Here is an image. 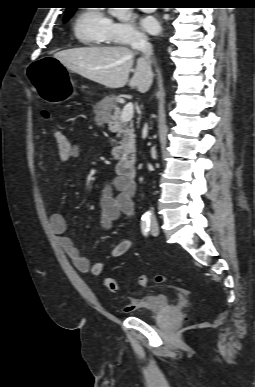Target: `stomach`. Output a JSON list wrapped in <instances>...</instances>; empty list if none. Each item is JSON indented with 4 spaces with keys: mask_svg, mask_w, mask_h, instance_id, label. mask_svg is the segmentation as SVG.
Listing matches in <instances>:
<instances>
[{
    "mask_svg": "<svg viewBox=\"0 0 255 387\" xmlns=\"http://www.w3.org/2000/svg\"><path fill=\"white\" fill-rule=\"evenodd\" d=\"M25 66L33 91L50 104L61 103L71 97L74 82L66 69L53 55H40V61Z\"/></svg>",
    "mask_w": 255,
    "mask_h": 387,
    "instance_id": "stomach-1",
    "label": "stomach"
}]
</instances>
